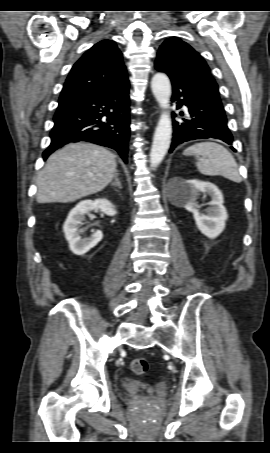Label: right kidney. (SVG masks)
<instances>
[{"mask_svg":"<svg viewBox=\"0 0 270 453\" xmlns=\"http://www.w3.org/2000/svg\"><path fill=\"white\" fill-rule=\"evenodd\" d=\"M98 209L108 216H114L117 213L115 206L107 199L81 201L69 212L63 231L69 248L74 254L84 255L102 240L103 234L100 230L93 232L89 238L82 239L81 234L84 230L79 228L85 216L90 211Z\"/></svg>","mask_w":270,"mask_h":453,"instance_id":"right-kidney-1","label":"right kidney"}]
</instances>
